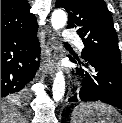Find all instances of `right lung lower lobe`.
<instances>
[{
    "instance_id": "98d812e1",
    "label": "right lung lower lobe",
    "mask_w": 122,
    "mask_h": 123,
    "mask_svg": "<svg viewBox=\"0 0 122 123\" xmlns=\"http://www.w3.org/2000/svg\"><path fill=\"white\" fill-rule=\"evenodd\" d=\"M37 31L30 34H1V98L21 97L27 93L39 62Z\"/></svg>"
}]
</instances>
